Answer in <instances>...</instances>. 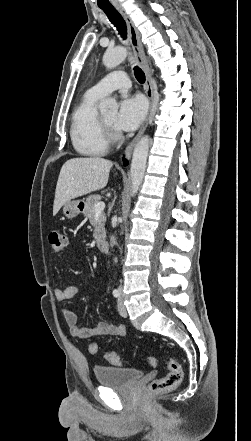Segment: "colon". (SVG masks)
<instances>
[{
  "instance_id": "obj_1",
  "label": "colon",
  "mask_w": 251,
  "mask_h": 441,
  "mask_svg": "<svg viewBox=\"0 0 251 441\" xmlns=\"http://www.w3.org/2000/svg\"><path fill=\"white\" fill-rule=\"evenodd\" d=\"M48 241L51 249L54 252L58 253L64 250V248L67 245L68 239L65 233L55 229L49 233ZM89 352L91 354H96L98 352L97 343L93 342L89 345ZM105 359L113 365L122 364L121 358L114 352L106 353ZM148 364L152 367L155 366L156 359L153 357H149ZM166 365H167L168 373L165 376L153 381L149 385L148 387L149 393L156 394V393L167 392L173 390L182 382L183 371L181 365L173 358H168Z\"/></svg>"
}]
</instances>
